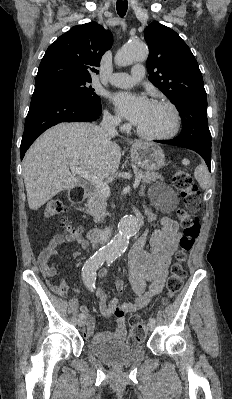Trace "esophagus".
Returning <instances> with one entry per match:
<instances>
[{"mask_svg": "<svg viewBox=\"0 0 232 399\" xmlns=\"http://www.w3.org/2000/svg\"><path fill=\"white\" fill-rule=\"evenodd\" d=\"M137 145H139V143H138V142H135L134 146H137Z\"/></svg>", "mask_w": 232, "mask_h": 399, "instance_id": "esophagus-1", "label": "esophagus"}]
</instances>
